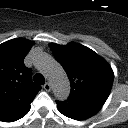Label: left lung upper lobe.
<instances>
[{"instance_id": "obj_1", "label": "left lung upper lobe", "mask_w": 128, "mask_h": 128, "mask_svg": "<svg viewBox=\"0 0 128 128\" xmlns=\"http://www.w3.org/2000/svg\"><path fill=\"white\" fill-rule=\"evenodd\" d=\"M55 59L63 66L71 84L67 102L101 108L114 79L110 65L93 50L78 43L50 44Z\"/></svg>"}]
</instances>
